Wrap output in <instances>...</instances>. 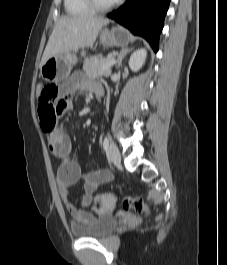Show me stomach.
Wrapping results in <instances>:
<instances>
[{
    "mask_svg": "<svg viewBox=\"0 0 227 265\" xmlns=\"http://www.w3.org/2000/svg\"><path fill=\"white\" fill-rule=\"evenodd\" d=\"M100 42L104 46L125 47L129 43V34L120 26L112 29L105 28L100 32ZM85 55V50H82L81 56L85 57ZM77 61L76 51L68 52L58 57H51L40 68V75L48 82L62 81L70 75L71 68Z\"/></svg>",
    "mask_w": 227,
    "mask_h": 265,
    "instance_id": "1",
    "label": "stomach"
}]
</instances>
